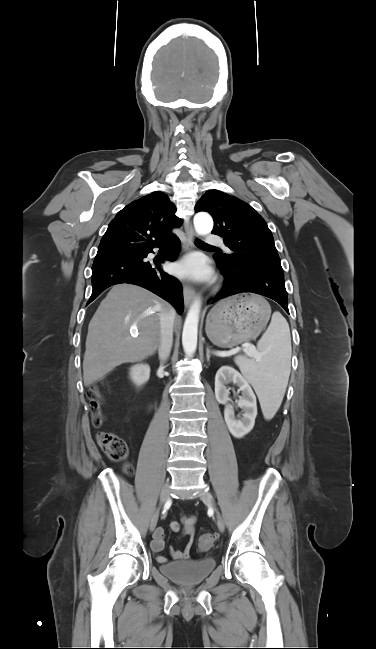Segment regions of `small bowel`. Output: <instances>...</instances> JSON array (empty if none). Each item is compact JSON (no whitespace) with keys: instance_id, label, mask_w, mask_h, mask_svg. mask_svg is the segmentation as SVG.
I'll list each match as a JSON object with an SVG mask.
<instances>
[{"instance_id":"c3829d8e","label":"small bowel","mask_w":376,"mask_h":649,"mask_svg":"<svg viewBox=\"0 0 376 649\" xmlns=\"http://www.w3.org/2000/svg\"><path fill=\"white\" fill-rule=\"evenodd\" d=\"M194 525L195 518L192 515L182 516L180 521H172L170 523V528L173 532L179 534L181 537H188V542L183 550L174 547L170 548V554L173 559H187L189 557L190 550L194 543ZM164 545V529L162 527H157L153 533L151 548L155 553H159L164 548ZM157 561L164 563L167 559L162 555H157Z\"/></svg>"}]
</instances>
